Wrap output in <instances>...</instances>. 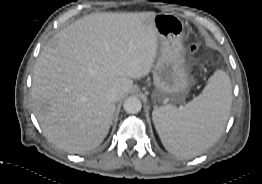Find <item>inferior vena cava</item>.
I'll return each instance as SVG.
<instances>
[{"instance_id":"obj_1","label":"inferior vena cava","mask_w":262,"mask_h":184,"mask_svg":"<svg viewBox=\"0 0 262 184\" xmlns=\"http://www.w3.org/2000/svg\"><path fill=\"white\" fill-rule=\"evenodd\" d=\"M106 98L110 102H116L119 98L118 91L115 88H111L106 93Z\"/></svg>"}]
</instances>
